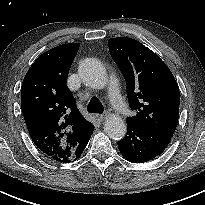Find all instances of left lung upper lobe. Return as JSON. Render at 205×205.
<instances>
[{
    "label": "left lung upper lobe",
    "instance_id": "5c2ea615",
    "mask_svg": "<svg viewBox=\"0 0 205 205\" xmlns=\"http://www.w3.org/2000/svg\"><path fill=\"white\" fill-rule=\"evenodd\" d=\"M108 44L113 60L126 79L129 106L137 112L126 122L174 132L179 118L180 93L167 65L134 39L112 38Z\"/></svg>",
    "mask_w": 205,
    "mask_h": 205
}]
</instances>
